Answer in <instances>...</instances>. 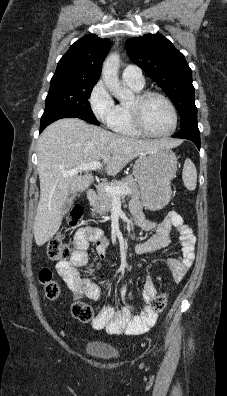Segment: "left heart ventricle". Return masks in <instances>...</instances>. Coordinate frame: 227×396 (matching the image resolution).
Wrapping results in <instances>:
<instances>
[{
	"instance_id": "b2bd125f",
	"label": "left heart ventricle",
	"mask_w": 227,
	"mask_h": 396,
	"mask_svg": "<svg viewBox=\"0 0 227 396\" xmlns=\"http://www.w3.org/2000/svg\"><path fill=\"white\" fill-rule=\"evenodd\" d=\"M143 119L147 128L156 133L167 132L173 125V117L168 105L156 96L145 101Z\"/></svg>"
}]
</instances>
